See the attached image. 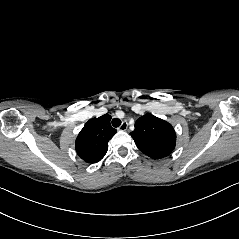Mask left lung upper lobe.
Segmentation results:
<instances>
[{"instance_id":"left-lung-upper-lobe-1","label":"left lung upper lobe","mask_w":239,"mask_h":239,"mask_svg":"<svg viewBox=\"0 0 239 239\" xmlns=\"http://www.w3.org/2000/svg\"><path fill=\"white\" fill-rule=\"evenodd\" d=\"M136 146L153 159L164 158L175 148L176 133L170 123L148 113L141 116L130 133Z\"/></svg>"}]
</instances>
